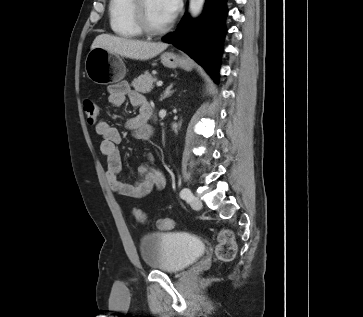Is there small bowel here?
<instances>
[{"label":"small bowel","mask_w":363,"mask_h":317,"mask_svg":"<svg viewBox=\"0 0 363 317\" xmlns=\"http://www.w3.org/2000/svg\"><path fill=\"white\" fill-rule=\"evenodd\" d=\"M126 97L132 106L139 109L137 116L131 118L128 127L138 139L149 138L147 119L150 105L145 96L130 89L127 82H119L109 89L108 101L114 107L124 104ZM95 131L101 137L100 151L106 157V178L110 187L118 194L131 198H141L153 191H162L166 185L164 175L154 167L153 157L147 154L145 162L139 168V178L134 184H128L119 179L122 160L117 145L121 142L120 132L107 121H99Z\"/></svg>","instance_id":"1"}]
</instances>
